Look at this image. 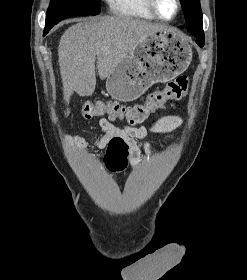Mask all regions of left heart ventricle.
Masks as SVG:
<instances>
[{
	"instance_id": "obj_1",
	"label": "left heart ventricle",
	"mask_w": 247,
	"mask_h": 280,
	"mask_svg": "<svg viewBox=\"0 0 247 280\" xmlns=\"http://www.w3.org/2000/svg\"><path fill=\"white\" fill-rule=\"evenodd\" d=\"M159 14L164 18H171L176 11L175 0H155Z\"/></svg>"
}]
</instances>
